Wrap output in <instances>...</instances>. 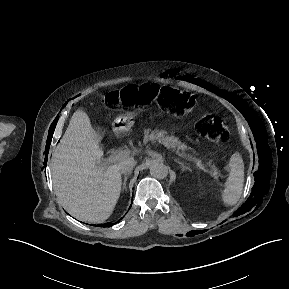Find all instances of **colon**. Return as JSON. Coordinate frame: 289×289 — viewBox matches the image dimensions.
Masks as SVG:
<instances>
[{
    "mask_svg": "<svg viewBox=\"0 0 289 289\" xmlns=\"http://www.w3.org/2000/svg\"><path fill=\"white\" fill-rule=\"evenodd\" d=\"M158 102L163 107L174 110L176 114L186 116L195 108L196 99L187 92H178L170 87L156 85L127 86L113 90L104 96V103L110 107L134 108ZM224 120L218 116L202 115L196 118V132L213 141L227 142L230 133L224 126Z\"/></svg>",
    "mask_w": 289,
    "mask_h": 289,
    "instance_id": "5ec220e1",
    "label": "colon"
}]
</instances>
